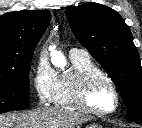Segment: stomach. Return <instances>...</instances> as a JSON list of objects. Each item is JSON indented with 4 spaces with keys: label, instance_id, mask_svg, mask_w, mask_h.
Here are the masks:
<instances>
[{
    "label": "stomach",
    "instance_id": "obj_1",
    "mask_svg": "<svg viewBox=\"0 0 142 128\" xmlns=\"http://www.w3.org/2000/svg\"><path fill=\"white\" fill-rule=\"evenodd\" d=\"M86 128H102V126L98 124H89L86 126Z\"/></svg>",
    "mask_w": 142,
    "mask_h": 128
}]
</instances>
